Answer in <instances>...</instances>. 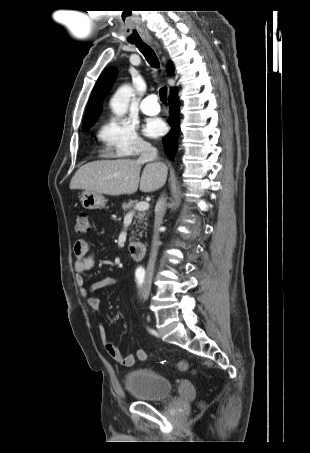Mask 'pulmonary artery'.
Returning a JSON list of instances; mask_svg holds the SVG:
<instances>
[{
    "instance_id": "1",
    "label": "pulmonary artery",
    "mask_w": 310,
    "mask_h": 453,
    "mask_svg": "<svg viewBox=\"0 0 310 453\" xmlns=\"http://www.w3.org/2000/svg\"><path fill=\"white\" fill-rule=\"evenodd\" d=\"M140 109L146 115H157L160 112L157 96L155 94L146 96L141 102Z\"/></svg>"
}]
</instances>
